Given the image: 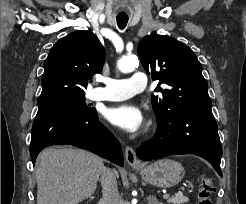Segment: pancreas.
I'll return each instance as SVG.
<instances>
[{
	"label": "pancreas",
	"instance_id": "cf45deb5",
	"mask_svg": "<svg viewBox=\"0 0 246 204\" xmlns=\"http://www.w3.org/2000/svg\"><path fill=\"white\" fill-rule=\"evenodd\" d=\"M189 199L183 195H175L173 198H171L170 203L172 204H184L187 203Z\"/></svg>",
	"mask_w": 246,
	"mask_h": 204
}]
</instances>
